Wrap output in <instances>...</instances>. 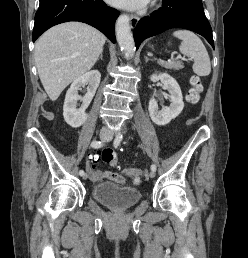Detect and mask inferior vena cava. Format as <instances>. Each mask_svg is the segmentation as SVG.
<instances>
[{"mask_svg": "<svg viewBox=\"0 0 248 258\" xmlns=\"http://www.w3.org/2000/svg\"><path fill=\"white\" fill-rule=\"evenodd\" d=\"M101 132L102 133H110V129L108 127H103Z\"/></svg>", "mask_w": 248, "mask_h": 258, "instance_id": "1", "label": "inferior vena cava"}]
</instances>
